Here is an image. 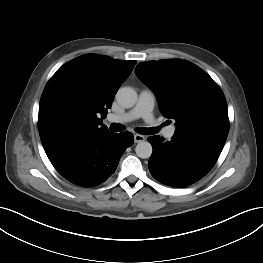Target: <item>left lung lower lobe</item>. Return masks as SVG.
<instances>
[{
  "label": "left lung lower lobe",
  "instance_id": "0a47b994",
  "mask_svg": "<svg viewBox=\"0 0 263 263\" xmlns=\"http://www.w3.org/2000/svg\"><path fill=\"white\" fill-rule=\"evenodd\" d=\"M171 139L148 137L153 147L148 167L157 181L176 188L187 187L204 177L215 165L226 141L177 131Z\"/></svg>",
  "mask_w": 263,
  "mask_h": 263
}]
</instances>
